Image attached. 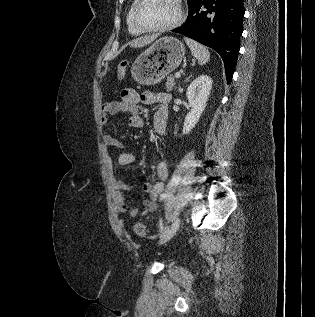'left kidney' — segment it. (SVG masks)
<instances>
[{
	"instance_id": "1",
	"label": "left kidney",
	"mask_w": 315,
	"mask_h": 317,
	"mask_svg": "<svg viewBox=\"0 0 315 317\" xmlns=\"http://www.w3.org/2000/svg\"><path fill=\"white\" fill-rule=\"evenodd\" d=\"M213 80L208 75H200L187 88L191 110L185 117L183 134H188L198 123L212 89Z\"/></svg>"
}]
</instances>
